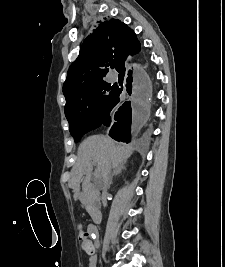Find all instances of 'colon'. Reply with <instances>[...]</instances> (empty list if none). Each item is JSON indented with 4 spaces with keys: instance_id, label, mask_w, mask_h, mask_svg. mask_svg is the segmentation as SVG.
Returning a JSON list of instances; mask_svg holds the SVG:
<instances>
[{
    "instance_id": "obj_1",
    "label": "colon",
    "mask_w": 225,
    "mask_h": 267,
    "mask_svg": "<svg viewBox=\"0 0 225 267\" xmlns=\"http://www.w3.org/2000/svg\"><path fill=\"white\" fill-rule=\"evenodd\" d=\"M79 239L83 250L89 252L91 250V243L89 242L87 236L82 233Z\"/></svg>"
}]
</instances>
